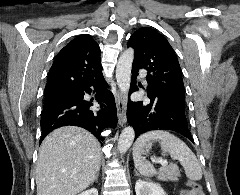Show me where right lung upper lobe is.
I'll use <instances>...</instances> for the list:
<instances>
[{
  "mask_svg": "<svg viewBox=\"0 0 240 195\" xmlns=\"http://www.w3.org/2000/svg\"><path fill=\"white\" fill-rule=\"evenodd\" d=\"M103 78L100 47L90 35H80L57 55L48 74L45 94L78 89Z\"/></svg>",
  "mask_w": 240,
  "mask_h": 195,
  "instance_id": "obj_1",
  "label": "right lung upper lobe"
}]
</instances>
